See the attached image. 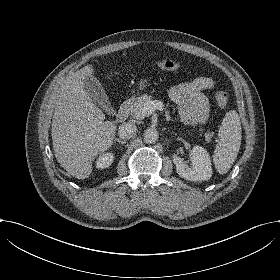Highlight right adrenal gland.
Wrapping results in <instances>:
<instances>
[{"label":"right adrenal gland","instance_id":"2a0ac1e0","mask_svg":"<svg viewBox=\"0 0 280 280\" xmlns=\"http://www.w3.org/2000/svg\"><path fill=\"white\" fill-rule=\"evenodd\" d=\"M114 140L117 141V142L120 143V144H125V143H126L125 140H121V139H119V138H115V137H114Z\"/></svg>","mask_w":280,"mask_h":280}]
</instances>
